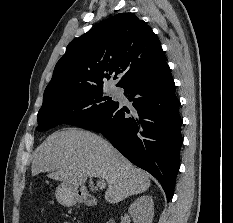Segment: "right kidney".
<instances>
[{
  "label": "right kidney",
  "instance_id": "ca27d5eb",
  "mask_svg": "<svg viewBox=\"0 0 233 223\" xmlns=\"http://www.w3.org/2000/svg\"><path fill=\"white\" fill-rule=\"evenodd\" d=\"M130 213L134 223H152L154 217V201L152 195H140L131 203Z\"/></svg>",
  "mask_w": 233,
  "mask_h": 223
}]
</instances>
